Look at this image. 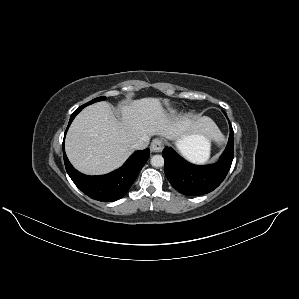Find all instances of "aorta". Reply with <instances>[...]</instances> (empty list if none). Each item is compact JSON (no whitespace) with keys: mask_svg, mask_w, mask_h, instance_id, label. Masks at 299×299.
I'll list each match as a JSON object with an SVG mask.
<instances>
[{"mask_svg":"<svg viewBox=\"0 0 299 299\" xmlns=\"http://www.w3.org/2000/svg\"><path fill=\"white\" fill-rule=\"evenodd\" d=\"M151 165L153 167H162L164 166V158L162 157V155H154L151 158Z\"/></svg>","mask_w":299,"mask_h":299,"instance_id":"1","label":"aorta"}]
</instances>
